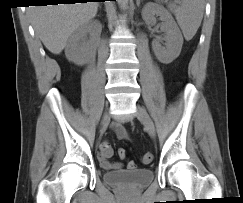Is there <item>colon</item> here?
<instances>
[{
    "label": "colon",
    "mask_w": 243,
    "mask_h": 203,
    "mask_svg": "<svg viewBox=\"0 0 243 203\" xmlns=\"http://www.w3.org/2000/svg\"><path fill=\"white\" fill-rule=\"evenodd\" d=\"M119 154L121 156L125 155V150L124 149H119ZM152 161H153V155L151 153H146V154L143 155L142 163L149 164ZM135 166H136V164L134 162H132V161L129 162L128 165H127L128 169H130V170L134 169Z\"/></svg>",
    "instance_id": "1"
}]
</instances>
